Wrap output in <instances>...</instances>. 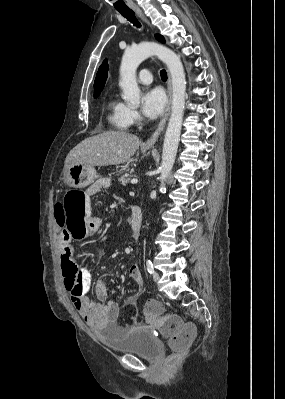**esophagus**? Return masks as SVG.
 <instances>
[{
    "label": "esophagus",
    "instance_id": "1",
    "mask_svg": "<svg viewBox=\"0 0 285 399\" xmlns=\"http://www.w3.org/2000/svg\"><path fill=\"white\" fill-rule=\"evenodd\" d=\"M133 10L145 23L149 24L148 20L145 18L143 12L140 10L139 7H134ZM167 96H168V104H167L166 112H165L163 118L161 119L155 132L151 135V137L144 144L145 148H150L155 144V142L161 135L162 131L164 130L165 124H166L169 114H170V108H171V103H172V84H171V77H170L169 73H168V82H167Z\"/></svg>",
    "mask_w": 285,
    "mask_h": 399
}]
</instances>
